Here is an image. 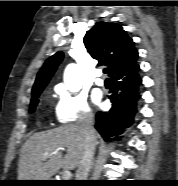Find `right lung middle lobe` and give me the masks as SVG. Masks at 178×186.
I'll return each mask as SVG.
<instances>
[{
    "label": "right lung middle lobe",
    "mask_w": 178,
    "mask_h": 186,
    "mask_svg": "<svg viewBox=\"0 0 178 186\" xmlns=\"http://www.w3.org/2000/svg\"><path fill=\"white\" fill-rule=\"evenodd\" d=\"M42 90L36 92L35 94L32 95L31 103H30V109L29 112L33 113L35 111V108L39 102L38 97L41 94Z\"/></svg>",
    "instance_id": "obj_1"
}]
</instances>
